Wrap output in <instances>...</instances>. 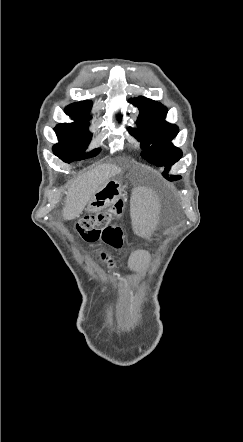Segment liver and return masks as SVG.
<instances>
[{"label":"liver","mask_w":243,"mask_h":442,"mask_svg":"<svg viewBox=\"0 0 243 442\" xmlns=\"http://www.w3.org/2000/svg\"><path fill=\"white\" fill-rule=\"evenodd\" d=\"M121 169L116 165H100L77 178L69 187L66 203L63 208L64 220L79 217L96 191Z\"/></svg>","instance_id":"obj_1"}]
</instances>
